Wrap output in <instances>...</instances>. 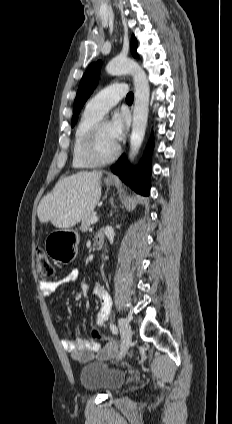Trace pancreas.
<instances>
[{"mask_svg":"<svg viewBox=\"0 0 232 424\" xmlns=\"http://www.w3.org/2000/svg\"><path fill=\"white\" fill-rule=\"evenodd\" d=\"M94 216H96V213L95 212H91L90 214H88L83 220H82V223H81V227H80V230L82 231V232H86V231H88V229L90 228V226H91V218L92 217H94Z\"/></svg>","mask_w":232,"mask_h":424,"instance_id":"cf45deb5","label":"pancreas"}]
</instances>
